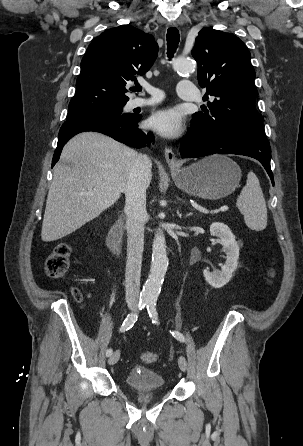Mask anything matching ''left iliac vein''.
I'll return each mask as SVG.
<instances>
[{"instance_id":"left-iliac-vein-1","label":"left iliac vein","mask_w":303,"mask_h":446,"mask_svg":"<svg viewBox=\"0 0 303 446\" xmlns=\"http://www.w3.org/2000/svg\"><path fill=\"white\" fill-rule=\"evenodd\" d=\"M178 365L183 372L187 370V360L184 356L178 358Z\"/></svg>"}]
</instances>
